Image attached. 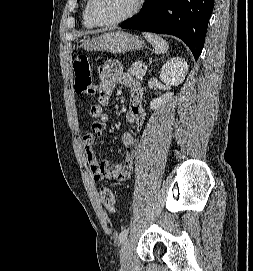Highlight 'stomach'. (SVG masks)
Here are the masks:
<instances>
[{
    "instance_id": "stomach-1",
    "label": "stomach",
    "mask_w": 253,
    "mask_h": 271,
    "mask_svg": "<svg viewBox=\"0 0 253 271\" xmlns=\"http://www.w3.org/2000/svg\"><path fill=\"white\" fill-rule=\"evenodd\" d=\"M143 46L144 42L140 37L124 31H113L92 39H84L81 44V47L86 51H101L113 54L138 50Z\"/></svg>"
}]
</instances>
